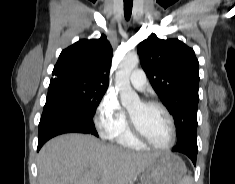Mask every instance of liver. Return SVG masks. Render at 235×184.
Returning a JSON list of instances; mask_svg holds the SVG:
<instances>
[{
	"instance_id": "6515ba94",
	"label": "liver",
	"mask_w": 235,
	"mask_h": 184,
	"mask_svg": "<svg viewBox=\"0 0 235 184\" xmlns=\"http://www.w3.org/2000/svg\"><path fill=\"white\" fill-rule=\"evenodd\" d=\"M161 154H137L104 144L90 134H63L49 140L38 154L39 184H128Z\"/></svg>"
}]
</instances>
